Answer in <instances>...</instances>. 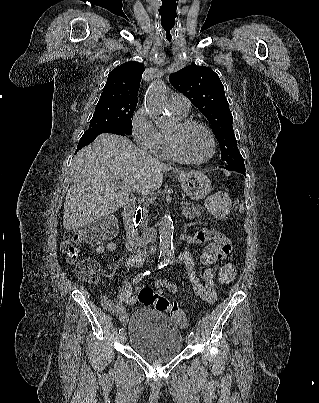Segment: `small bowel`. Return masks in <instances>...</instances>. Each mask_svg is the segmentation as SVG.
<instances>
[{"instance_id":"c3829d8e","label":"small bowel","mask_w":319,"mask_h":403,"mask_svg":"<svg viewBox=\"0 0 319 403\" xmlns=\"http://www.w3.org/2000/svg\"><path fill=\"white\" fill-rule=\"evenodd\" d=\"M184 239L186 242L191 244H202L209 242L201 255V263L205 267L202 279H199L196 274L194 261L189 252H182L179 255V259L185 265L190 281L193 284L195 295L207 303L213 304L217 300V293L214 288V272L211 268V265L226 259L231 252V243L226 236L213 229L200 230L195 235L185 236ZM104 250L105 246H103L102 251ZM146 256L147 255L145 253L134 254L127 259L125 263L127 274L123 279L122 286L119 291L118 301L112 302L106 299L102 301L104 308L115 314L122 324H127L129 318V313L126 309V306L133 305L136 301V298L132 293L133 268L140 267L143 264ZM153 285L157 288H164L172 293L176 292L177 290L174 284L166 280H155Z\"/></svg>"}]
</instances>
